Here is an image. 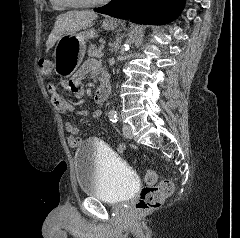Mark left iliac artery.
Listing matches in <instances>:
<instances>
[{
    "mask_svg": "<svg viewBox=\"0 0 240 238\" xmlns=\"http://www.w3.org/2000/svg\"><path fill=\"white\" fill-rule=\"evenodd\" d=\"M109 117L113 123H116L118 121V117L116 114H111Z\"/></svg>",
    "mask_w": 240,
    "mask_h": 238,
    "instance_id": "obj_1",
    "label": "left iliac artery"
}]
</instances>
